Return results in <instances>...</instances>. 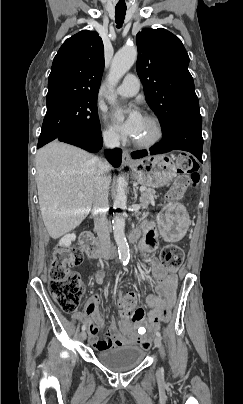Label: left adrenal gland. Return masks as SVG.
I'll return each instance as SVG.
<instances>
[{
	"instance_id": "a2214340",
	"label": "left adrenal gland",
	"mask_w": 243,
	"mask_h": 404,
	"mask_svg": "<svg viewBox=\"0 0 243 404\" xmlns=\"http://www.w3.org/2000/svg\"><path fill=\"white\" fill-rule=\"evenodd\" d=\"M133 192H134V202H136V200L138 198V190H137V188H134Z\"/></svg>"
}]
</instances>
